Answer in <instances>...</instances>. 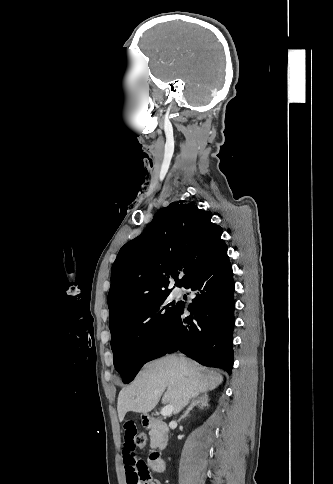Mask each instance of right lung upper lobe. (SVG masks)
Masks as SVG:
<instances>
[{
  "mask_svg": "<svg viewBox=\"0 0 333 484\" xmlns=\"http://www.w3.org/2000/svg\"><path fill=\"white\" fill-rule=\"evenodd\" d=\"M211 213L192 203L160 209L146 230L119 251L108 294L110 327L133 310L170 293V279L184 286L225 245ZM183 278L178 280L179 272Z\"/></svg>",
  "mask_w": 333,
  "mask_h": 484,
  "instance_id": "1",
  "label": "right lung upper lobe"
}]
</instances>
